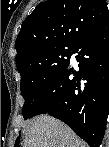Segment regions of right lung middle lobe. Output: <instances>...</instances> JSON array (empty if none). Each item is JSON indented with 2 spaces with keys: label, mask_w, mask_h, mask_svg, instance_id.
Wrapping results in <instances>:
<instances>
[{
  "label": "right lung middle lobe",
  "mask_w": 109,
  "mask_h": 147,
  "mask_svg": "<svg viewBox=\"0 0 109 147\" xmlns=\"http://www.w3.org/2000/svg\"><path fill=\"white\" fill-rule=\"evenodd\" d=\"M72 49L57 48L40 52L30 63L18 69L21 93L25 99L23 116L33 117L49 88L70 61Z\"/></svg>",
  "instance_id": "dd1d6c3e"
}]
</instances>
